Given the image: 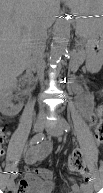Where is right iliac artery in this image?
I'll list each match as a JSON object with an SVG mask.
<instances>
[{
	"label": "right iliac artery",
	"mask_w": 103,
	"mask_h": 193,
	"mask_svg": "<svg viewBox=\"0 0 103 193\" xmlns=\"http://www.w3.org/2000/svg\"><path fill=\"white\" fill-rule=\"evenodd\" d=\"M44 139V134L43 133H38L32 137L30 140V145L37 144L41 142ZM11 177L12 179L16 178L18 176V169L14 168V170L11 172Z\"/></svg>",
	"instance_id": "82829eb1"
}]
</instances>
